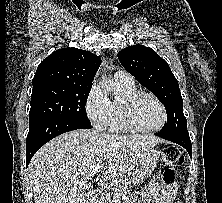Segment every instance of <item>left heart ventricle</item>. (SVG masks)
<instances>
[{"label": "left heart ventricle", "instance_id": "left-heart-ventricle-1", "mask_svg": "<svg viewBox=\"0 0 222 203\" xmlns=\"http://www.w3.org/2000/svg\"><path fill=\"white\" fill-rule=\"evenodd\" d=\"M134 116L144 128L157 127L162 121V111L158 104L149 97H142L134 106Z\"/></svg>", "mask_w": 222, "mask_h": 203}]
</instances>
